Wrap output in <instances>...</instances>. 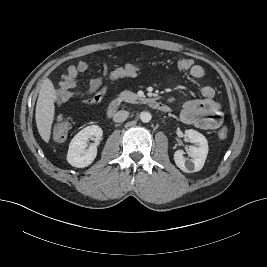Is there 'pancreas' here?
<instances>
[{
	"label": "pancreas",
	"instance_id": "1",
	"mask_svg": "<svg viewBox=\"0 0 267 267\" xmlns=\"http://www.w3.org/2000/svg\"><path fill=\"white\" fill-rule=\"evenodd\" d=\"M138 99L139 97L137 94L128 90L121 92L117 97L119 102L125 101L128 103H135Z\"/></svg>",
	"mask_w": 267,
	"mask_h": 267
}]
</instances>
